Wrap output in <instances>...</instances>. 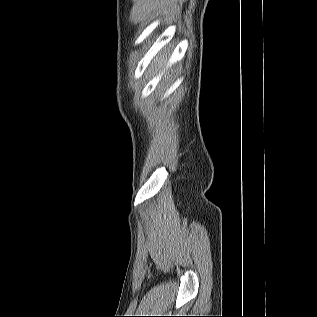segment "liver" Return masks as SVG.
Returning <instances> with one entry per match:
<instances>
[{
	"label": "liver",
	"mask_w": 317,
	"mask_h": 317,
	"mask_svg": "<svg viewBox=\"0 0 317 317\" xmlns=\"http://www.w3.org/2000/svg\"><path fill=\"white\" fill-rule=\"evenodd\" d=\"M155 63H158L159 68H162V66H163V59L161 58V59H159V60H156Z\"/></svg>",
	"instance_id": "6515ba94"
}]
</instances>
